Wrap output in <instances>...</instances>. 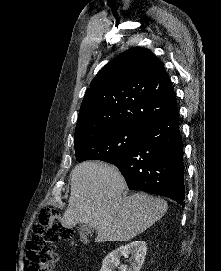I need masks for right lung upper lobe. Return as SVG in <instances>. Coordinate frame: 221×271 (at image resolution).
Returning a JSON list of instances; mask_svg holds the SVG:
<instances>
[{
  "instance_id": "right-lung-upper-lobe-1",
  "label": "right lung upper lobe",
  "mask_w": 221,
  "mask_h": 271,
  "mask_svg": "<svg viewBox=\"0 0 221 271\" xmlns=\"http://www.w3.org/2000/svg\"><path fill=\"white\" fill-rule=\"evenodd\" d=\"M177 110L163 62L148 49L130 48L106 64L90 83L74 139L117 125L144 128Z\"/></svg>"
}]
</instances>
